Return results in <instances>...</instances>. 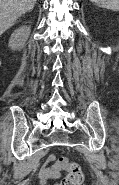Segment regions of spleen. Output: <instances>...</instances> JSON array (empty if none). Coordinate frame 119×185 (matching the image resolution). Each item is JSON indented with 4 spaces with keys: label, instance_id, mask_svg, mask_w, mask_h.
Instances as JSON below:
<instances>
[{
    "label": "spleen",
    "instance_id": "spleen-1",
    "mask_svg": "<svg viewBox=\"0 0 119 185\" xmlns=\"http://www.w3.org/2000/svg\"><path fill=\"white\" fill-rule=\"evenodd\" d=\"M97 6L105 9H110L112 11L119 10V0H90Z\"/></svg>",
    "mask_w": 119,
    "mask_h": 185
}]
</instances>
